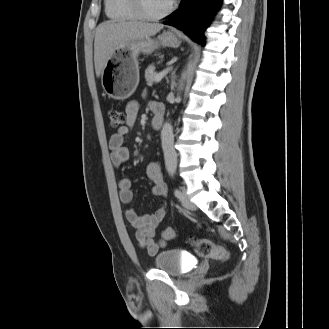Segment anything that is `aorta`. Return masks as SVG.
<instances>
[{"label":"aorta","instance_id":"1","mask_svg":"<svg viewBox=\"0 0 329 329\" xmlns=\"http://www.w3.org/2000/svg\"><path fill=\"white\" fill-rule=\"evenodd\" d=\"M186 79V74L182 75V81ZM183 84L180 85L182 89ZM180 99V97H179ZM162 149L164 152L165 166L168 172H172L177 166V154L174 149V135L171 123L166 122L161 131Z\"/></svg>","mask_w":329,"mask_h":329}]
</instances>
